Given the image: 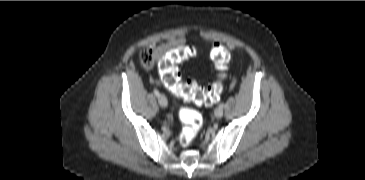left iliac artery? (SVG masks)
Segmentation results:
<instances>
[{"label":"left iliac artery","mask_w":365,"mask_h":180,"mask_svg":"<svg viewBox=\"0 0 365 180\" xmlns=\"http://www.w3.org/2000/svg\"><path fill=\"white\" fill-rule=\"evenodd\" d=\"M219 107H220V108H223V107H224V104H223V103H221V104L219 105Z\"/></svg>","instance_id":"obj_1"}]
</instances>
